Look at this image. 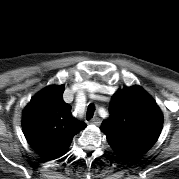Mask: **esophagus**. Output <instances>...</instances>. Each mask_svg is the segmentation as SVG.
Returning a JSON list of instances; mask_svg holds the SVG:
<instances>
[{
	"label": "esophagus",
	"mask_w": 179,
	"mask_h": 179,
	"mask_svg": "<svg viewBox=\"0 0 179 179\" xmlns=\"http://www.w3.org/2000/svg\"><path fill=\"white\" fill-rule=\"evenodd\" d=\"M91 122L92 123H94L95 125H100L101 124V122H102V119L101 118H99V117H97V116H95V117H93L92 119H91Z\"/></svg>",
	"instance_id": "34e87169"
}]
</instances>
